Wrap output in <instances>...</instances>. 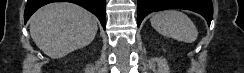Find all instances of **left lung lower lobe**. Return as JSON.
I'll return each instance as SVG.
<instances>
[{
    "instance_id": "left-lung-lower-lobe-1",
    "label": "left lung lower lobe",
    "mask_w": 244,
    "mask_h": 73,
    "mask_svg": "<svg viewBox=\"0 0 244 73\" xmlns=\"http://www.w3.org/2000/svg\"><path fill=\"white\" fill-rule=\"evenodd\" d=\"M179 8L191 10L205 17L210 24L213 17L211 0H138L137 25L140 26L145 16L151 12Z\"/></svg>"
}]
</instances>
